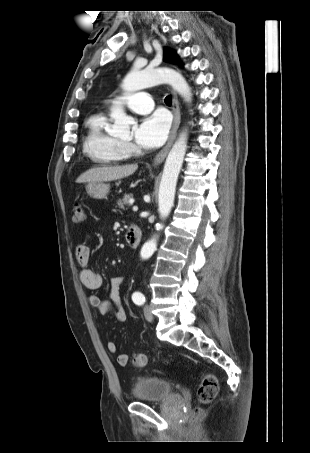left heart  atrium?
Listing matches in <instances>:
<instances>
[{
  "mask_svg": "<svg viewBox=\"0 0 310 453\" xmlns=\"http://www.w3.org/2000/svg\"><path fill=\"white\" fill-rule=\"evenodd\" d=\"M170 129V120L158 112L141 120L134 130L136 143L145 149H154L164 143Z\"/></svg>",
  "mask_w": 310,
  "mask_h": 453,
  "instance_id": "39dd6f15",
  "label": "left heart atrium"
}]
</instances>
